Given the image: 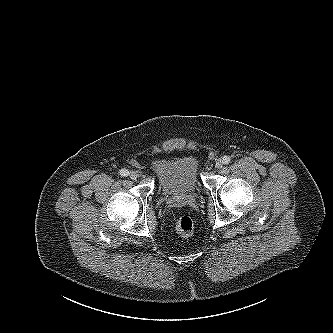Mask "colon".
Listing matches in <instances>:
<instances>
[{"mask_svg": "<svg viewBox=\"0 0 333 333\" xmlns=\"http://www.w3.org/2000/svg\"><path fill=\"white\" fill-rule=\"evenodd\" d=\"M176 230L182 236H189L193 233L194 222L191 217L187 215L181 216L176 223Z\"/></svg>", "mask_w": 333, "mask_h": 333, "instance_id": "colon-1", "label": "colon"}]
</instances>
